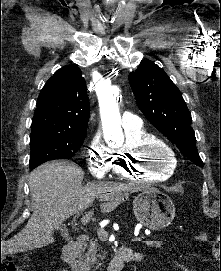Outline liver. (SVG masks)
Wrapping results in <instances>:
<instances>
[{
  "label": "liver",
  "mask_w": 221,
  "mask_h": 271,
  "mask_svg": "<svg viewBox=\"0 0 221 271\" xmlns=\"http://www.w3.org/2000/svg\"><path fill=\"white\" fill-rule=\"evenodd\" d=\"M83 177L84 171L79 165L66 161H47L33 169L29 175L33 213L25 227L5 241L4 251L18 253L49 245L55 241L53 229L70 215L89 207L95 197L103 201V209H115L122 201L120 191L137 189L130 183L118 185L101 179L82 185Z\"/></svg>",
  "instance_id": "6515ba94"
}]
</instances>
